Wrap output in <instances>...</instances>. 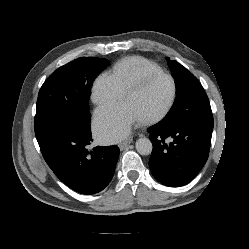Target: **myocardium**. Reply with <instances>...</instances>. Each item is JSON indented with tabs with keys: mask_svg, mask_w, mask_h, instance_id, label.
Returning a JSON list of instances; mask_svg holds the SVG:
<instances>
[{
	"mask_svg": "<svg viewBox=\"0 0 249 249\" xmlns=\"http://www.w3.org/2000/svg\"><path fill=\"white\" fill-rule=\"evenodd\" d=\"M160 77L167 78L171 82L172 92H171L170 99L167 102V104L164 106V108L161 109L159 112H157L151 116L141 118V121L144 123L157 121V120L163 118L164 116H166L169 113V111L172 109V107L175 103L176 97H177V84H176L175 79L170 74L162 72V71L156 72V73H149V74L142 76L134 83H132L124 92V98H125L126 96H128L132 93L140 91L149 82H151L152 80H154L156 78H160Z\"/></svg>",
	"mask_w": 249,
	"mask_h": 249,
	"instance_id": "1",
	"label": "myocardium"
}]
</instances>
